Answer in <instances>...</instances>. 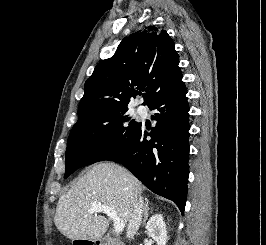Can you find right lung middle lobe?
<instances>
[{
	"mask_svg": "<svg viewBox=\"0 0 266 245\" xmlns=\"http://www.w3.org/2000/svg\"><path fill=\"white\" fill-rule=\"evenodd\" d=\"M127 111L115 108L77 121L67 142L64 178L81 167L107 160L131 143L140 123L131 120Z\"/></svg>",
	"mask_w": 266,
	"mask_h": 245,
	"instance_id": "right-lung-middle-lobe-1",
	"label": "right lung middle lobe"
}]
</instances>
